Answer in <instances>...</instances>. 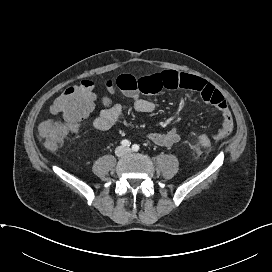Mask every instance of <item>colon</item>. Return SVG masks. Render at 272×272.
I'll return each instance as SVG.
<instances>
[{"label": "colon", "instance_id": "1", "mask_svg": "<svg viewBox=\"0 0 272 272\" xmlns=\"http://www.w3.org/2000/svg\"><path fill=\"white\" fill-rule=\"evenodd\" d=\"M106 86L109 91L113 90L111 81L107 82ZM95 100L94 84L89 79L66 88L51 107L52 112L61 115L63 120L51 118L42 122L38 128L45 147L51 151L58 149L69 135L76 131L77 123L91 112ZM109 102V98L103 99L104 104ZM211 143L207 135H200L196 141V147L197 149L208 148Z\"/></svg>", "mask_w": 272, "mask_h": 272}]
</instances>
